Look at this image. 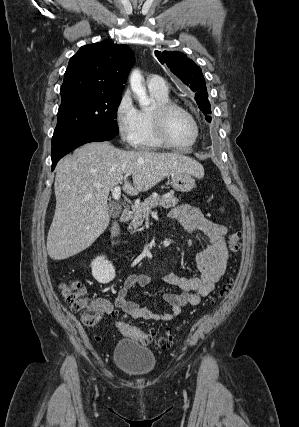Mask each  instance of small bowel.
Instances as JSON below:
<instances>
[{
	"instance_id": "small-bowel-1",
	"label": "small bowel",
	"mask_w": 299,
	"mask_h": 427,
	"mask_svg": "<svg viewBox=\"0 0 299 427\" xmlns=\"http://www.w3.org/2000/svg\"><path fill=\"white\" fill-rule=\"evenodd\" d=\"M169 218L177 220L189 233H199L209 240V247L196 257L198 274L187 278L181 275L166 273V283L181 289V293L166 292L161 299L168 305L165 312H157L141 307L127 299L129 291L136 286H146L152 280L149 274L129 275L117 292L114 302L98 299L96 305L106 314L115 315V308H121L133 319L153 320L157 322L171 321L177 318L182 309L196 306L209 295L222 277L228 260L225 235L227 228L206 216L195 206L181 204L174 207Z\"/></svg>"
}]
</instances>
